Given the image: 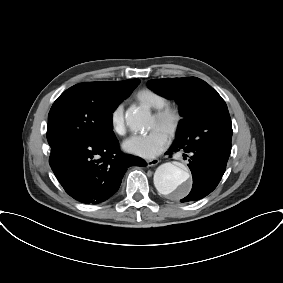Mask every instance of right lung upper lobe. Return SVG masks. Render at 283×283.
<instances>
[{
    "label": "right lung upper lobe",
    "mask_w": 283,
    "mask_h": 283,
    "mask_svg": "<svg viewBox=\"0 0 283 283\" xmlns=\"http://www.w3.org/2000/svg\"><path fill=\"white\" fill-rule=\"evenodd\" d=\"M138 79L125 81L88 82L79 84L92 93L96 98L102 99L112 94H119L139 84Z\"/></svg>",
    "instance_id": "obj_1"
}]
</instances>
